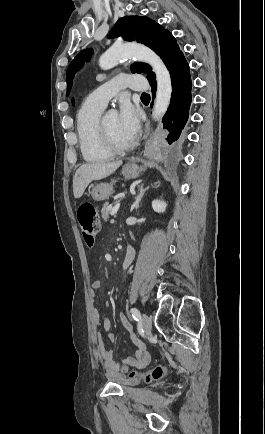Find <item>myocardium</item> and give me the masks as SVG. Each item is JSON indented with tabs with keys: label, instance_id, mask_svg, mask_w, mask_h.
Masks as SVG:
<instances>
[{
	"label": "myocardium",
	"instance_id": "1",
	"mask_svg": "<svg viewBox=\"0 0 265 434\" xmlns=\"http://www.w3.org/2000/svg\"><path fill=\"white\" fill-rule=\"evenodd\" d=\"M101 127L104 136L105 146L112 155H124L133 150L134 144H130L128 146H120L113 141L112 134L105 122V119L102 120Z\"/></svg>",
	"mask_w": 265,
	"mask_h": 434
}]
</instances>
